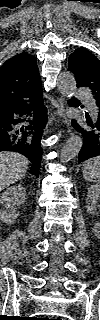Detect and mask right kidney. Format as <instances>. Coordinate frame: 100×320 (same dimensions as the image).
<instances>
[{
  "instance_id": "right-kidney-1",
  "label": "right kidney",
  "mask_w": 100,
  "mask_h": 320,
  "mask_svg": "<svg viewBox=\"0 0 100 320\" xmlns=\"http://www.w3.org/2000/svg\"><path fill=\"white\" fill-rule=\"evenodd\" d=\"M26 191L22 185H13L1 194L0 203L2 209L0 212L1 221L6 224H14L19 213L17 207L24 203Z\"/></svg>"
}]
</instances>
